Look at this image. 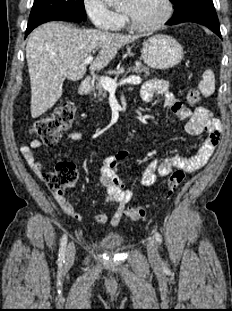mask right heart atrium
<instances>
[{"instance_id":"obj_1","label":"right heart atrium","mask_w":232,"mask_h":311,"mask_svg":"<svg viewBox=\"0 0 232 311\" xmlns=\"http://www.w3.org/2000/svg\"><path fill=\"white\" fill-rule=\"evenodd\" d=\"M83 8L94 27L101 31L116 30L123 16L112 10L105 0H83Z\"/></svg>"}]
</instances>
